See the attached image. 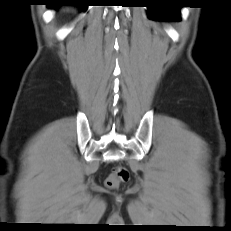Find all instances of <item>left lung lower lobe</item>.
<instances>
[{"mask_svg": "<svg viewBox=\"0 0 231 231\" xmlns=\"http://www.w3.org/2000/svg\"><path fill=\"white\" fill-rule=\"evenodd\" d=\"M176 0H147L149 17L151 19H169L180 21V7Z\"/></svg>", "mask_w": 231, "mask_h": 231, "instance_id": "0a47b994", "label": "left lung lower lobe"}]
</instances>
